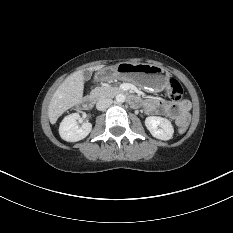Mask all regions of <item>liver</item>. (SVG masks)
I'll list each match as a JSON object with an SVG mask.
<instances>
[{
  "label": "liver",
  "instance_id": "liver-1",
  "mask_svg": "<svg viewBox=\"0 0 233 233\" xmlns=\"http://www.w3.org/2000/svg\"><path fill=\"white\" fill-rule=\"evenodd\" d=\"M104 65L88 68L89 71L101 70ZM84 77L83 71H77L69 75L57 88L48 106V117L51 124H55L58 118L68 109L78 104L83 97Z\"/></svg>",
  "mask_w": 233,
  "mask_h": 233
}]
</instances>
